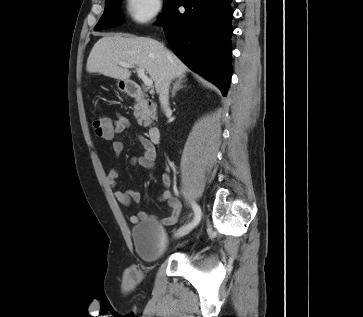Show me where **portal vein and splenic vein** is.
I'll return each mask as SVG.
<instances>
[{"label": "portal vein and splenic vein", "instance_id": "portal-vein-and-splenic-vein-1", "mask_svg": "<svg viewBox=\"0 0 363 317\" xmlns=\"http://www.w3.org/2000/svg\"><path fill=\"white\" fill-rule=\"evenodd\" d=\"M119 65L122 66L123 68H132L133 67L129 63H125V62H120ZM137 74L142 79L143 83L147 87H152L153 80L150 79L149 77H147V75L145 74V70L143 68H137Z\"/></svg>", "mask_w": 363, "mask_h": 317}]
</instances>
